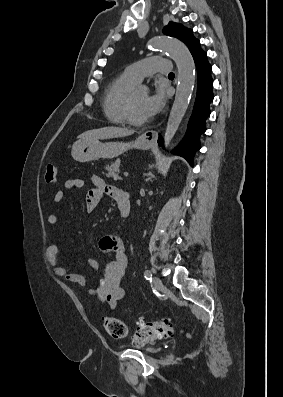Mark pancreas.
Masks as SVG:
<instances>
[{
    "instance_id": "1",
    "label": "pancreas",
    "mask_w": 283,
    "mask_h": 397,
    "mask_svg": "<svg viewBox=\"0 0 283 397\" xmlns=\"http://www.w3.org/2000/svg\"><path fill=\"white\" fill-rule=\"evenodd\" d=\"M105 169L108 172L107 175H106L108 178L112 177L114 180H120L121 179V177L119 176V173H120V161L117 160L115 162H112V163L108 164L105 167Z\"/></svg>"
}]
</instances>
